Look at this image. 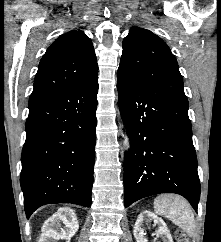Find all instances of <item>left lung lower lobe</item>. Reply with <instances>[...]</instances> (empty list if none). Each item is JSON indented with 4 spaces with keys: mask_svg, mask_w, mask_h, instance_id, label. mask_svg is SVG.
Here are the masks:
<instances>
[{
    "mask_svg": "<svg viewBox=\"0 0 221 242\" xmlns=\"http://www.w3.org/2000/svg\"><path fill=\"white\" fill-rule=\"evenodd\" d=\"M119 108L131 146L124 158V204L154 194L184 196L197 211L200 182L188 104L158 95L118 69Z\"/></svg>",
    "mask_w": 221,
    "mask_h": 242,
    "instance_id": "0a47b994",
    "label": "left lung lower lobe"
}]
</instances>
